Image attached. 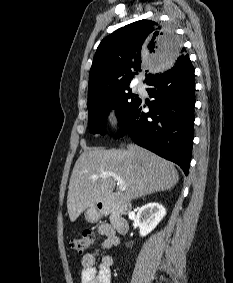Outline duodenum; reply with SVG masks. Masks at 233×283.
I'll return each mask as SVG.
<instances>
[{"label": "duodenum", "instance_id": "duodenum-1", "mask_svg": "<svg viewBox=\"0 0 233 283\" xmlns=\"http://www.w3.org/2000/svg\"><path fill=\"white\" fill-rule=\"evenodd\" d=\"M99 213L110 215V226L114 232L125 233L128 223L124 215L129 211V204L122 195H112L98 205Z\"/></svg>", "mask_w": 233, "mask_h": 283}]
</instances>
